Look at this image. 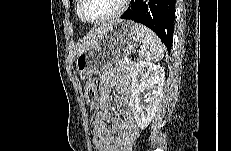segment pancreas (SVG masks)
Returning a JSON list of instances; mask_svg holds the SVG:
<instances>
[{"mask_svg": "<svg viewBox=\"0 0 231 151\" xmlns=\"http://www.w3.org/2000/svg\"><path fill=\"white\" fill-rule=\"evenodd\" d=\"M119 68L125 72L126 74L131 75L134 69V64L133 63H125L123 60L118 62Z\"/></svg>", "mask_w": 231, "mask_h": 151, "instance_id": "1", "label": "pancreas"}]
</instances>
